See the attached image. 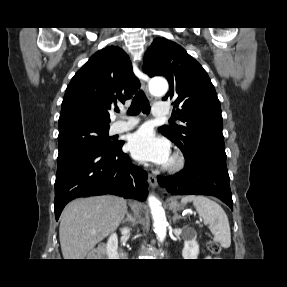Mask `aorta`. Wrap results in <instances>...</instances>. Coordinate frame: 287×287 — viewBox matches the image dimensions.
<instances>
[{
    "label": "aorta",
    "instance_id": "1",
    "mask_svg": "<svg viewBox=\"0 0 287 287\" xmlns=\"http://www.w3.org/2000/svg\"><path fill=\"white\" fill-rule=\"evenodd\" d=\"M151 92L155 94H165L168 90V83L165 80H155L150 84ZM148 203L153 218V226L160 242L164 241L167 232V219L165 211L161 206L160 201L153 195L148 197Z\"/></svg>",
    "mask_w": 287,
    "mask_h": 287
}]
</instances>
